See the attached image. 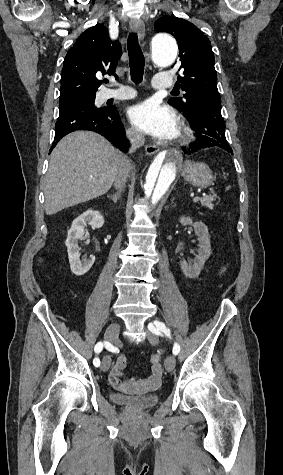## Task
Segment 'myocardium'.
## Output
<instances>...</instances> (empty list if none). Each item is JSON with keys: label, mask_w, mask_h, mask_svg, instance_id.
I'll return each mask as SVG.
<instances>
[{"label": "myocardium", "mask_w": 283, "mask_h": 475, "mask_svg": "<svg viewBox=\"0 0 283 475\" xmlns=\"http://www.w3.org/2000/svg\"><path fill=\"white\" fill-rule=\"evenodd\" d=\"M178 134H180V137H181L180 143L185 144L188 140V135H189L188 129L186 127L182 126L178 130Z\"/></svg>", "instance_id": "1"}]
</instances>
